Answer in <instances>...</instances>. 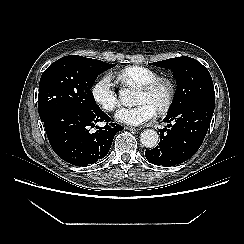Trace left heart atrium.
<instances>
[{
    "mask_svg": "<svg viewBox=\"0 0 244 244\" xmlns=\"http://www.w3.org/2000/svg\"><path fill=\"white\" fill-rule=\"evenodd\" d=\"M156 110L147 103H140L134 107H124L117 111L115 118L118 122L130 126H138L151 121Z\"/></svg>",
    "mask_w": 244,
    "mask_h": 244,
    "instance_id": "obj_1",
    "label": "left heart atrium"
}]
</instances>
